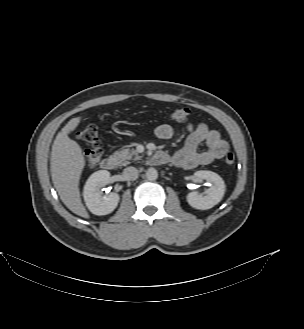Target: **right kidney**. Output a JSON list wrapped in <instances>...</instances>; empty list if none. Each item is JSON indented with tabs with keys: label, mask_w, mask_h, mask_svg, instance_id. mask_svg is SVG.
Returning a JSON list of instances; mask_svg holds the SVG:
<instances>
[{
	"label": "right kidney",
	"mask_w": 304,
	"mask_h": 329,
	"mask_svg": "<svg viewBox=\"0 0 304 329\" xmlns=\"http://www.w3.org/2000/svg\"><path fill=\"white\" fill-rule=\"evenodd\" d=\"M110 173L107 170L94 172L86 181L83 190L86 206L95 215H106L111 213L118 205L119 195L110 193L102 197L101 188L109 183Z\"/></svg>",
	"instance_id": "right-kidney-1"
}]
</instances>
